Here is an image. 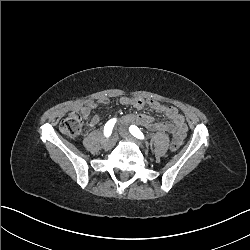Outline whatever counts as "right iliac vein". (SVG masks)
I'll use <instances>...</instances> for the list:
<instances>
[{
    "label": "right iliac vein",
    "instance_id": "obj_1",
    "mask_svg": "<svg viewBox=\"0 0 250 250\" xmlns=\"http://www.w3.org/2000/svg\"><path fill=\"white\" fill-rule=\"evenodd\" d=\"M116 139H117V135L116 134H114L109 139H104L103 142H102L103 147L107 148V149L112 148L115 145V143H116Z\"/></svg>",
    "mask_w": 250,
    "mask_h": 250
}]
</instances>
